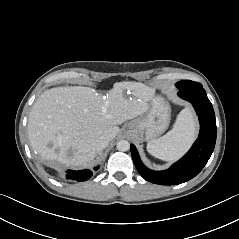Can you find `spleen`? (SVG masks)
Instances as JSON below:
<instances>
[{
	"label": "spleen",
	"mask_w": 239,
	"mask_h": 239,
	"mask_svg": "<svg viewBox=\"0 0 239 239\" xmlns=\"http://www.w3.org/2000/svg\"><path fill=\"white\" fill-rule=\"evenodd\" d=\"M196 132L193 112L187 107L179 113L169 132L147 143V151L158 159L169 162L175 161L189 149L195 140Z\"/></svg>",
	"instance_id": "1"
}]
</instances>
